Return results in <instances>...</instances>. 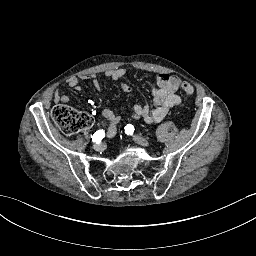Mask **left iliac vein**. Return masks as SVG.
I'll use <instances>...</instances> for the list:
<instances>
[{
	"label": "left iliac vein",
	"instance_id": "obj_1",
	"mask_svg": "<svg viewBox=\"0 0 256 256\" xmlns=\"http://www.w3.org/2000/svg\"><path fill=\"white\" fill-rule=\"evenodd\" d=\"M133 141L144 147L149 146V141L138 135L133 136Z\"/></svg>",
	"mask_w": 256,
	"mask_h": 256
}]
</instances>
